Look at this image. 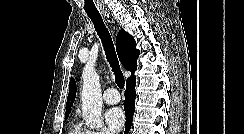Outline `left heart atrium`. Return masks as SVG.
Returning <instances> with one entry per match:
<instances>
[{
    "instance_id": "1",
    "label": "left heart atrium",
    "mask_w": 244,
    "mask_h": 134,
    "mask_svg": "<svg viewBox=\"0 0 244 134\" xmlns=\"http://www.w3.org/2000/svg\"><path fill=\"white\" fill-rule=\"evenodd\" d=\"M105 118L109 129L113 133L119 132L124 126L125 115L124 112L118 107L110 108L106 112Z\"/></svg>"
}]
</instances>
